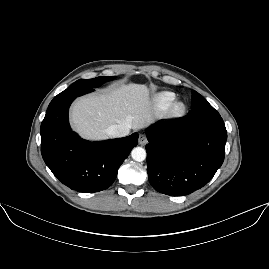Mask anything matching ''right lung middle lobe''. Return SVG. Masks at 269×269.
<instances>
[{
  "label": "right lung middle lobe",
  "mask_w": 269,
  "mask_h": 269,
  "mask_svg": "<svg viewBox=\"0 0 269 269\" xmlns=\"http://www.w3.org/2000/svg\"><path fill=\"white\" fill-rule=\"evenodd\" d=\"M115 77H106V76H101V77H96L93 79H80L77 80L76 82H74L70 88H74V89H81V90H86L88 88H94V87H98L101 84H103L104 82L110 81L112 79H114Z\"/></svg>",
  "instance_id": "dd1d6c3e"
}]
</instances>
